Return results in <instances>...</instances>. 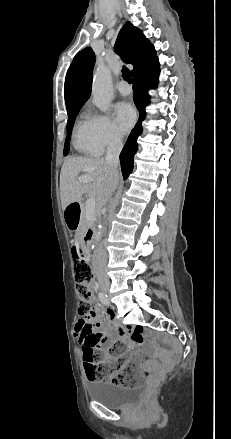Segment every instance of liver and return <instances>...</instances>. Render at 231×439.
I'll return each instance as SVG.
<instances>
[{
  "label": "liver",
  "mask_w": 231,
  "mask_h": 439,
  "mask_svg": "<svg viewBox=\"0 0 231 439\" xmlns=\"http://www.w3.org/2000/svg\"><path fill=\"white\" fill-rule=\"evenodd\" d=\"M83 176L91 178V182L79 183L76 179ZM116 178L109 165L102 158L71 157L64 161L60 173V197L62 208L80 201L85 193L96 198L103 205L109 196L110 189L116 183Z\"/></svg>",
  "instance_id": "6515ba94"
}]
</instances>
